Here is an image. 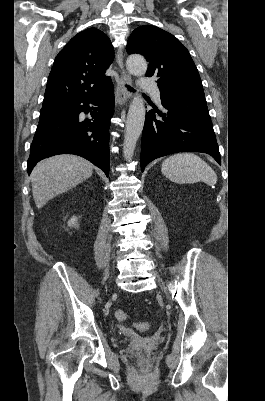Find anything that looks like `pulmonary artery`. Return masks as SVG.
Listing matches in <instances>:
<instances>
[{
    "instance_id": "e3ab8cb5",
    "label": "pulmonary artery",
    "mask_w": 265,
    "mask_h": 401,
    "mask_svg": "<svg viewBox=\"0 0 265 401\" xmlns=\"http://www.w3.org/2000/svg\"><path fill=\"white\" fill-rule=\"evenodd\" d=\"M139 83L141 84V88L143 90H154L153 98L158 104H160V102H161L160 91L158 90V88H156V83L154 81H150V76L149 75H140Z\"/></svg>"
}]
</instances>
